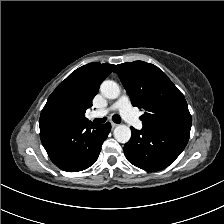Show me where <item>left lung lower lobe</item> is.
<instances>
[{"label":"left lung lower lobe","instance_id":"1","mask_svg":"<svg viewBox=\"0 0 224 224\" xmlns=\"http://www.w3.org/2000/svg\"><path fill=\"white\" fill-rule=\"evenodd\" d=\"M131 139L124 145V154L134 166L146 171L166 168L180 155L188 139L168 131L131 127Z\"/></svg>","mask_w":224,"mask_h":224}]
</instances>
